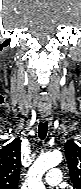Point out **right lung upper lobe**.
I'll list each match as a JSON object with an SVG mask.
<instances>
[{
    "instance_id": "1",
    "label": "right lung upper lobe",
    "mask_w": 81,
    "mask_h": 189,
    "mask_svg": "<svg viewBox=\"0 0 81 189\" xmlns=\"http://www.w3.org/2000/svg\"><path fill=\"white\" fill-rule=\"evenodd\" d=\"M21 140L0 149V189H18L21 171Z\"/></svg>"
}]
</instances>
